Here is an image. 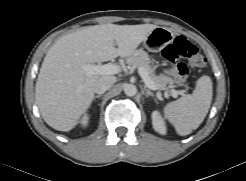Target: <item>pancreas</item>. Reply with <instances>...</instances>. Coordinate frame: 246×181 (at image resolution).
Segmentation results:
<instances>
[{"mask_svg": "<svg viewBox=\"0 0 246 181\" xmlns=\"http://www.w3.org/2000/svg\"><path fill=\"white\" fill-rule=\"evenodd\" d=\"M126 63L130 66H140L149 75L150 79L158 86L159 89L165 88L167 84L172 85L174 80L164 74L156 75L148 54L142 49L136 50L131 56L127 57Z\"/></svg>", "mask_w": 246, "mask_h": 181, "instance_id": "pancreas-1", "label": "pancreas"}]
</instances>
